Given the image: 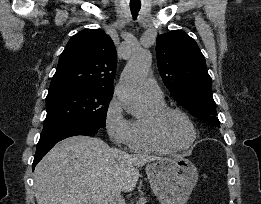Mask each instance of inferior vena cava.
Returning <instances> with one entry per match:
<instances>
[{
    "instance_id": "602c4592",
    "label": "inferior vena cava",
    "mask_w": 261,
    "mask_h": 204,
    "mask_svg": "<svg viewBox=\"0 0 261 204\" xmlns=\"http://www.w3.org/2000/svg\"><path fill=\"white\" fill-rule=\"evenodd\" d=\"M109 204H126L120 192H113L109 199Z\"/></svg>"
}]
</instances>
